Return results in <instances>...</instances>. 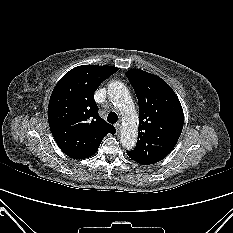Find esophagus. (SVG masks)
<instances>
[{
    "label": "esophagus",
    "mask_w": 233,
    "mask_h": 233,
    "mask_svg": "<svg viewBox=\"0 0 233 233\" xmlns=\"http://www.w3.org/2000/svg\"><path fill=\"white\" fill-rule=\"evenodd\" d=\"M120 127H121L120 123L115 124V128H116L117 132L119 131Z\"/></svg>",
    "instance_id": "34e87169"
}]
</instances>
